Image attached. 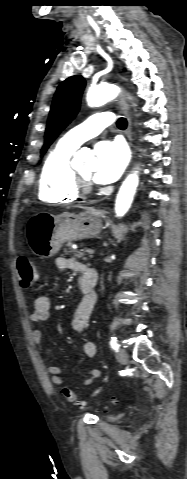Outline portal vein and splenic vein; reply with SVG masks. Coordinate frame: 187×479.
<instances>
[{"mask_svg": "<svg viewBox=\"0 0 187 479\" xmlns=\"http://www.w3.org/2000/svg\"><path fill=\"white\" fill-rule=\"evenodd\" d=\"M86 252H87L88 254H93V253H94V250H92V249H87Z\"/></svg>", "mask_w": 187, "mask_h": 479, "instance_id": "obj_1", "label": "portal vein and splenic vein"}]
</instances>
